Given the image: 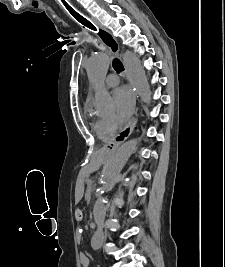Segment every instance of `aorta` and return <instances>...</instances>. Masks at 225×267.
Returning a JSON list of instances; mask_svg holds the SVG:
<instances>
[{"label":"aorta","mask_w":225,"mask_h":267,"mask_svg":"<svg viewBox=\"0 0 225 267\" xmlns=\"http://www.w3.org/2000/svg\"><path fill=\"white\" fill-rule=\"evenodd\" d=\"M123 63L131 85L135 88L142 101L150 104L151 91L145 71L140 60L131 52L126 51L123 55ZM110 61L106 54L98 53L89 58L86 71L91 84L94 87L93 105L100 111L105 112L112 106V98L105 88V77L109 69ZM138 139H132L122 144L112 156L102 173V185L93 208V215L97 230L95 231L91 246L98 249L103 243V225L106 215L104 193L109 192L115 185L117 178L126 162L135 151Z\"/></svg>","instance_id":"762f6f07"}]
</instances>
